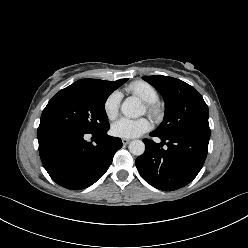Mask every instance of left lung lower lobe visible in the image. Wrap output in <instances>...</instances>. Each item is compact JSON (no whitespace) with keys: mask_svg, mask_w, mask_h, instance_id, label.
I'll return each instance as SVG.
<instances>
[{"mask_svg":"<svg viewBox=\"0 0 248 248\" xmlns=\"http://www.w3.org/2000/svg\"><path fill=\"white\" fill-rule=\"evenodd\" d=\"M210 133V128L182 130L168 137L150 133L162 142L159 145L143 140L145 152L135 161L138 172L160 190L173 191L184 187L197 176L205 162ZM164 144L167 149L161 148Z\"/></svg>","mask_w":248,"mask_h":248,"instance_id":"1","label":"left lung lower lobe"}]
</instances>
